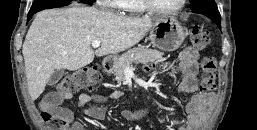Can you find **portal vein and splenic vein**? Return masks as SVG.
I'll use <instances>...</instances> for the list:
<instances>
[{"instance_id":"18ae733b","label":"portal vein and splenic vein","mask_w":257,"mask_h":130,"mask_svg":"<svg viewBox=\"0 0 257 130\" xmlns=\"http://www.w3.org/2000/svg\"><path fill=\"white\" fill-rule=\"evenodd\" d=\"M100 44H101L100 40H95V41L92 42V47L93 48H98L100 46ZM131 72H132L131 68L127 67L125 69V73H131Z\"/></svg>"}]
</instances>
